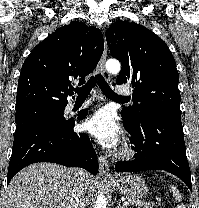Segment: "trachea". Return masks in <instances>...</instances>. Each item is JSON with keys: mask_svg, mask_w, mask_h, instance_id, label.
<instances>
[{"mask_svg": "<svg viewBox=\"0 0 199 208\" xmlns=\"http://www.w3.org/2000/svg\"><path fill=\"white\" fill-rule=\"evenodd\" d=\"M98 84L99 88L102 92L109 98L115 101H128L127 98L119 97L108 85L105 81L104 77L101 74H97L96 76H92L90 80L79 89H76L75 92L78 94V99H86L93 87Z\"/></svg>", "mask_w": 199, "mask_h": 208, "instance_id": "3493384b", "label": "trachea"}]
</instances>
